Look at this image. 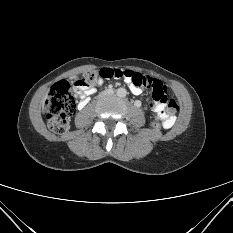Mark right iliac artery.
<instances>
[{
    "label": "right iliac artery",
    "instance_id": "right-iliac-artery-1",
    "mask_svg": "<svg viewBox=\"0 0 233 233\" xmlns=\"http://www.w3.org/2000/svg\"><path fill=\"white\" fill-rule=\"evenodd\" d=\"M135 105H136V106H139V105H140V102H139V101H136V102H135Z\"/></svg>",
    "mask_w": 233,
    "mask_h": 233
}]
</instances>
